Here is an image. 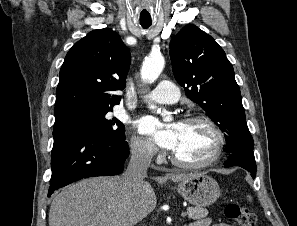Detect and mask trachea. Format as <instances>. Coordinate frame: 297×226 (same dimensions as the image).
<instances>
[{"label":"trachea","mask_w":297,"mask_h":226,"mask_svg":"<svg viewBox=\"0 0 297 226\" xmlns=\"http://www.w3.org/2000/svg\"><path fill=\"white\" fill-rule=\"evenodd\" d=\"M140 24L144 29H147L151 26L150 22H140Z\"/></svg>","instance_id":"trachea-1"}]
</instances>
